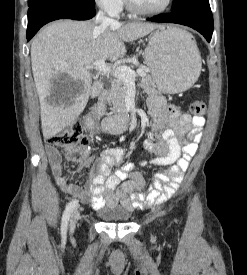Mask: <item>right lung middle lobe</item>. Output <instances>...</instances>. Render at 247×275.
I'll list each match as a JSON object with an SVG mask.
<instances>
[{
    "instance_id": "obj_1",
    "label": "right lung middle lobe",
    "mask_w": 247,
    "mask_h": 275,
    "mask_svg": "<svg viewBox=\"0 0 247 275\" xmlns=\"http://www.w3.org/2000/svg\"><path fill=\"white\" fill-rule=\"evenodd\" d=\"M52 1H62V2H67V3L80 5V6H90V7L95 6L94 0H28V6L31 7L34 5L43 4V3L52 2Z\"/></svg>"
}]
</instances>
